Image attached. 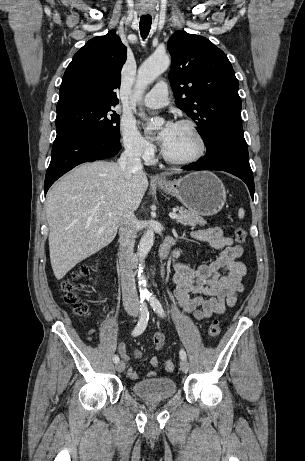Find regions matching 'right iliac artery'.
Segmentation results:
<instances>
[{"instance_id": "1", "label": "right iliac artery", "mask_w": 305, "mask_h": 461, "mask_svg": "<svg viewBox=\"0 0 305 461\" xmlns=\"http://www.w3.org/2000/svg\"><path fill=\"white\" fill-rule=\"evenodd\" d=\"M144 300H145V297H142L141 300H140V314L141 315H140V319H139L136 327L134 328V330L132 332L133 336L140 335L146 329V326H147V323H148L149 312H148V308H147V305L144 302ZM119 360L120 359H119L118 355H115L113 357V361L115 363H118Z\"/></svg>"}]
</instances>
